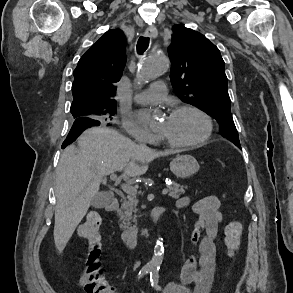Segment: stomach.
Segmentation results:
<instances>
[{
  "label": "stomach",
  "instance_id": "stomach-1",
  "mask_svg": "<svg viewBox=\"0 0 293 293\" xmlns=\"http://www.w3.org/2000/svg\"><path fill=\"white\" fill-rule=\"evenodd\" d=\"M200 166L191 155H181L174 158L170 163V170L177 178H189L196 174Z\"/></svg>",
  "mask_w": 293,
  "mask_h": 293
}]
</instances>
